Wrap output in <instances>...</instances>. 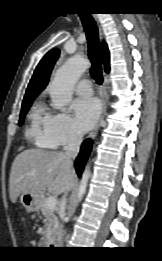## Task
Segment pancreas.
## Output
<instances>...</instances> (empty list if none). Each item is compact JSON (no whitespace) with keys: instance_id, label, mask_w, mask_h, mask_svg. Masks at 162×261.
Masks as SVG:
<instances>
[{"instance_id":"cf45deb5","label":"pancreas","mask_w":162,"mask_h":261,"mask_svg":"<svg viewBox=\"0 0 162 261\" xmlns=\"http://www.w3.org/2000/svg\"><path fill=\"white\" fill-rule=\"evenodd\" d=\"M46 200L42 199L40 203V210L42 215L44 216V229L43 236L41 238V242L48 244L56 237L59 231V222L55 215L54 210H50L46 206Z\"/></svg>"}]
</instances>
